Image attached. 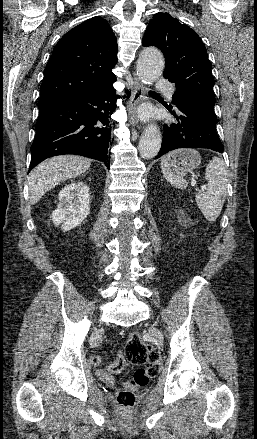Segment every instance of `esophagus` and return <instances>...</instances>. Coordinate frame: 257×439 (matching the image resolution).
I'll return each instance as SVG.
<instances>
[{
  "label": "esophagus",
  "mask_w": 257,
  "mask_h": 439,
  "mask_svg": "<svg viewBox=\"0 0 257 439\" xmlns=\"http://www.w3.org/2000/svg\"><path fill=\"white\" fill-rule=\"evenodd\" d=\"M144 93H145V88L143 84L139 81V79L134 74L133 92L127 106L130 122L133 125H136L138 123L137 109L139 104L142 102L144 98Z\"/></svg>",
  "instance_id": "34e87169"
}]
</instances>
